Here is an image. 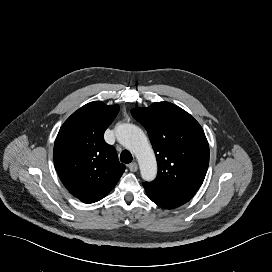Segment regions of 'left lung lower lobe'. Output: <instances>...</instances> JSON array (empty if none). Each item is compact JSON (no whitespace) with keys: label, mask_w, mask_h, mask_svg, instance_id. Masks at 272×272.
<instances>
[{"label":"left lung lower lobe","mask_w":272,"mask_h":272,"mask_svg":"<svg viewBox=\"0 0 272 272\" xmlns=\"http://www.w3.org/2000/svg\"><path fill=\"white\" fill-rule=\"evenodd\" d=\"M142 184L148 197L165 209L179 207L188 202L194 195L178 187L159 185L153 182H143Z\"/></svg>","instance_id":"1"}]
</instances>
